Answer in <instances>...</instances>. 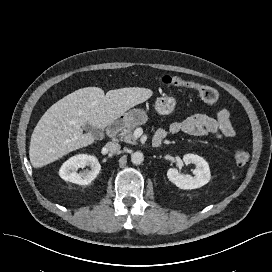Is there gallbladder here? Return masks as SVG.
Returning <instances> with one entry per match:
<instances>
[{"instance_id": "obj_1", "label": "gallbladder", "mask_w": 272, "mask_h": 272, "mask_svg": "<svg viewBox=\"0 0 272 272\" xmlns=\"http://www.w3.org/2000/svg\"><path fill=\"white\" fill-rule=\"evenodd\" d=\"M83 128L85 131L90 132L94 134L95 136L100 135V132L96 130L95 128H93L90 124H86Z\"/></svg>"}]
</instances>
